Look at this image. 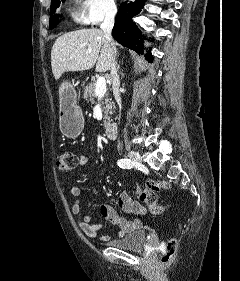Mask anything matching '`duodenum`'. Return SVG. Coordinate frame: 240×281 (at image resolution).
<instances>
[{"instance_id": "1", "label": "duodenum", "mask_w": 240, "mask_h": 281, "mask_svg": "<svg viewBox=\"0 0 240 281\" xmlns=\"http://www.w3.org/2000/svg\"><path fill=\"white\" fill-rule=\"evenodd\" d=\"M105 135L108 139L114 140L117 137V126L114 123H109L105 126Z\"/></svg>"}]
</instances>
